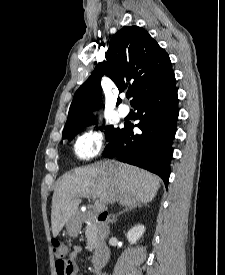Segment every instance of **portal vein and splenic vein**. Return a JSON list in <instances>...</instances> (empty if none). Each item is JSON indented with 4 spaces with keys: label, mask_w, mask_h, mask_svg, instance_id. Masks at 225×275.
I'll list each match as a JSON object with an SVG mask.
<instances>
[{
    "label": "portal vein and splenic vein",
    "mask_w": 225,
    "mask_h": 275,
    "mask_svg": "<svg viewBox=\"0 0 225 275\" xmlns=\"http://www.w3.org/2000/svg\"><path fill=\"white\" fill-rule=\"evenodd\" d=\"M95 207H96L97 209L101 210L102 207H103V205H102L101 203H99V202H96V203H95Z\"/></svg>",
    "instance_id": "obj_1"
}]
</instances>
